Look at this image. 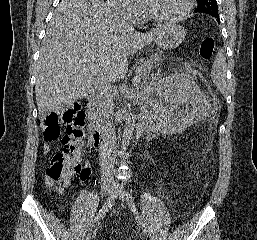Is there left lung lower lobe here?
Segmentation results:
<instances>
[{
  "label": "left lung lower lobe",
  "instance_id": "0a47b994",
  "mask_svg": "<svg viewBox=\"0 0 257 240\" xmlns=\"http://www.w3.org/2000/svg\"><path fill=\"white\" fill-rule=\"evenodd\" d=\"M216 20H217L218 22H220L219 18H216Z\"/></svg>",
  "mask_w": 257,
  "mask_h": 240
}]
</instances>
